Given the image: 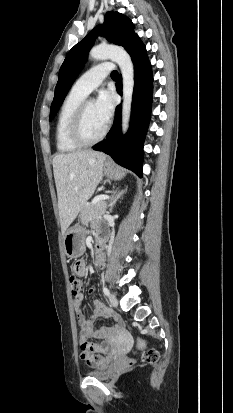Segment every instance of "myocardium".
I'll list each match as a JSON object with an SVG mask.
<instances>
[{
  "instance_id": "obj_1",
  "label": "myocardium",
  "mask_w": 233,
  "mask_h": 413,
  "mask_svg": "<svg viewBox=\"0 0 233 413\" xmlns=\"http://www.w3.org/2000/svg\"><path fill=\"white\" fill-rule=\"evenodd\" d=\"M89 102L90 101L88 100H84L79 105V107L77 108L73 116V119L71 121L70 128H69V134H70L71 140L75 144L79 145L80 147L92 146L102 141L105 138L108 132V129H109V126L106 124L101 134L97 136L96 138L88 139L85 137L83 127H84L86 109H87V105Z\"/></svg>"
}]
</instances>
